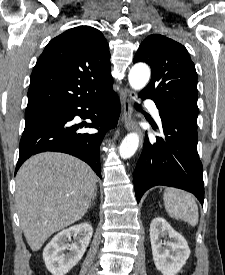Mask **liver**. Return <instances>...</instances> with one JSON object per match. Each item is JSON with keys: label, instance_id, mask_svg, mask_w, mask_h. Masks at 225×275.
<instances>
[{"label": "liver", "instance_id": "liver-1", "mask_svg": "<svg viewBox=\"0 0 225 275\" xmlns=\"http://www.w3.org/2000/svg\"><path fill=\"white\" fill-rule=\"evenodd\" d=\"M96 182L94 171L68 154L40 153L21 166L16 175V201L24 236L33 251L85 215Z\"/></svg>", "mask_w": 225, "mask_h": 275}]
</instances>
